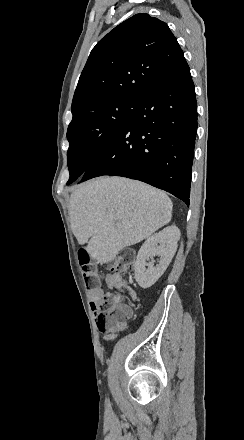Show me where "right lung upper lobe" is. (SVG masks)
<instances>
[{"instance_id": "obj_1", "label": "right lung upper lobe", "mask_w": 244, "mask_h": 440, "mask_svg": "<svg viewBox=\"0 0 244 440\" xmlns=\"http://www.w3.org/2000/svg\"><path fill=\"white\" fill-rule=\"evenodd\" d=\"M185 62L167 24L136 14L102 38L90 53L72 109L112 97H142L168 71Z\"/></svg>"}]
</instances>
